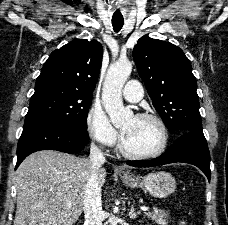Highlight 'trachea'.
Masks as SVG:
<instances>
[{
    "mask_svg": "<svg viewBox=\"0 0 228 225\" xmlns=\"http://www.w3.org/2000/svg\"><path fill=\"white\" fill-rule=\"evenodd\" d=\"M124 19L123 18H112V25L115 30V32H119L121 28L123 27Z\"/></svg>",
    "mask_w": 228,
    "mask_h": 225,
    "instance_id": "1",
    "label": "trachea"
}]
</instances>
